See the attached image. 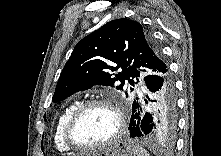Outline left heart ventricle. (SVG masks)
Instances as JSON below:
<instances>
[{"mask_svg":"<svg viewBox=\"0 0 221 156\" xmlns=\"http://www.w3.org/2000/svg\"><path fill=\"white\" fill-rule=\"evenodd\" d=\"M116 127V116L111 109L93 107L79 119L73 129V137L80 144H100L113 135Z\"/></svg>","mask_w":221,"mask_h":156,"instance_id":"left-heart-ventricle-1","label":"left heart ventricle"}]
</instances>
